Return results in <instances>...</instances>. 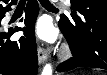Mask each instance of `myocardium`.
<instances>
[{
  "label": "myocardium",
  "instance_id": "myocardium-1",
  "mask_svg": "<svg viewBox=\"0 0 107 75\" xmlns=\"http://www.w3.org/2000/svg\"><path fill=\"white\" fill-rule=\"evenodd\" d=\"M70 49H69V47L68 46H65L64 48H63V50H62V55L64 56V57H68L69 55H70Z\"/></svg>",
  "mask_w": 107,
  "mask_h": 75
}]
</instances>
